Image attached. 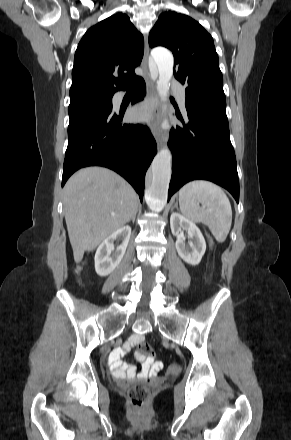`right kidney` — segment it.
<instances>
[{
    "label": "right kidney",
    "mask_w": 291,
    "mask_h": 440,
    "mask_svg": "<svg viewBox=\"0 0 291 440\" xmlns=\"http://www.w3.org/2000/svg\"><path fill=\"white\" fill-rule=\"evenodd\" d=\"M131 235V227L124 226L109 235L97 248L95 254V270L100 276L109 275L121 262ZM122 243L115 249L114 241Z\"/></svg>",
    "instance_id": "right-kidney-1"
}]
</instances>
